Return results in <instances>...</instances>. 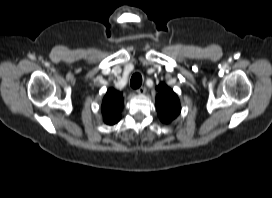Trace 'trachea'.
<instances>
[{"instance_id": "obj_1", "label": "trachea", "mask_w": 272, "mask_h": 198, "mask_svg": "<svg viewBox=\"0 0 272 198\" xmlns=\"http://www.w3.org/2000/svg\"><path fill=\"white\" fill-rule=\"evenodd\" d=\"M142 84V76L139 73H135L131 77L130 85L132 88L137 89L141 86Z\"/></svg>"}]
</instances>
